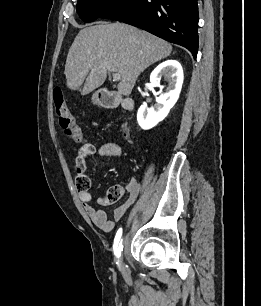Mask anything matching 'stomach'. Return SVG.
<instances>
[{"label":"stomach","instance_id":"1","mask_svg":"<svg viewBox=\"0 0 261 306\" xmlns=\"http://www.w3.org/2000/svg\"><path fill=\"white\" fill-rule=\"evenodd\" d=\"M92 100H93L94 103H98V101H99L98 96L96 94L93 95Z\"/></svg>","mask_w":261,"mask_h":306}]
</instances>
